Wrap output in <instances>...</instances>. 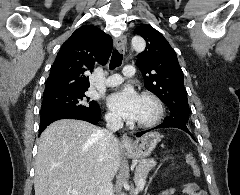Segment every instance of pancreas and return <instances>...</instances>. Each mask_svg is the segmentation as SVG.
<instances>
[{"mask_svg":"<svg viewBox=\"0 0 240 195\" xmlns=\"http://www.w3.org/2000/svg\"><path fill=\"white\" fill-rule=\"evenodd\" d=\"M157 165V161L153 159V157H149V159H138V165H136L135 177L134 181L136 185H138L141 177L145 179L147 177L150 169H153Z\"/></svg>","mask_w":240,"mask_h":195,"instance_id":"pancreas-1","label":"pancreas"}]
</instances>
